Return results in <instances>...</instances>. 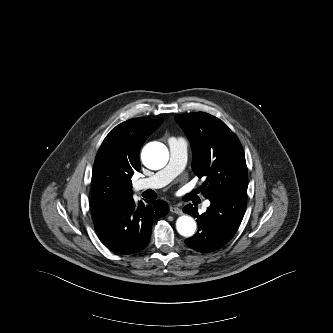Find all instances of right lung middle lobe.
<instances>
[{
  "mask_svg": "<svg viewBox=\"0 0 333 333\" xmlns=\"http://www.w3.org/2000/svg\"><path fill=\"white\" fill-rule=\"evenodd\" d=\"M118 205H121V203H116L114 200L111 202H107V203L99 201V200L92 201L93 210H104V209L116 207Z\"/></svg>",
  "mask_w": 333,
  "mask_h": 333,
  "instance_id": "1",
  "label": "right lung middle lobe"
}]
</instances>
